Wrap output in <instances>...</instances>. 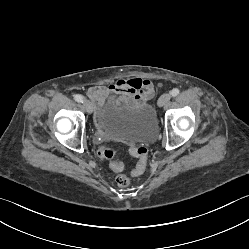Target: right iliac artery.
Wrapping results in <instances>:
<instances>
[{
    "label": "right iliac artery",
    "mask_w": 249,
    "mask_h": 249,
    "mask_svg": "<svg viewBox=\"0 0 249 249\" xmlns=\"http://www.w3.org/2000/svg\"><path fill=\"white\" fill-rule=\"evenodd\" d=\"M74 99H75V101L80 102V103H83V101H84V97L82 95H79V94L75 95Z\"/></svg>",
    "instance_id": "82829eb1"
}]
</instances>
